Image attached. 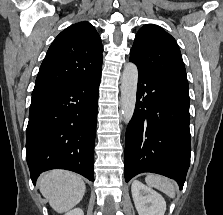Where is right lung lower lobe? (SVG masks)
Returning a JSON list of instances; mask_svg holds the SVG:
<instances>
[{"mask_svg": "<svg viewBox=\"0 0 223 215\" xmlns=\"http://www.w3.org/2000/svg\"><path fill=\"white\" fill-rule=\"evenodd\" d=\"M101 71L65 89L32 97L26 160L35 185L40 173L67 169L94 181V141Z\"/></svg>", "mask_w": 223, "mask_h": 215, "instance_id": "obj_1", "label": "right lung lower lobe"}]
</instances>
